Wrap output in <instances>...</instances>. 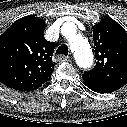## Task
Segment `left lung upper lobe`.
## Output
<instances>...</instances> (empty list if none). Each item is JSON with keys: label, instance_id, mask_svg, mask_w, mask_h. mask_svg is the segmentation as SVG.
Masks as SVG:
<instances>
[{"label": "left lung upper lobe", "instance_id": "obj_1", "mask_svg": "<svg viewBox=\"0 0 127 127\" xmlns=\"http://www.w3.org/2000/svg\"><path fill=\"white\" fill-rule=\"evenodd\" d=\"M96 66L82 77L118 88L127 84V33L109 16L93 27Z\"/></svg>", "mask_w": 127, "mask_h": 127}]
</instances>
